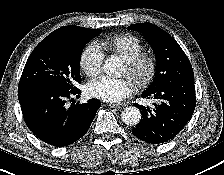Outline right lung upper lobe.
<instances>
[{"label": "right lung upper lobe", "mask_w": 224, "mask_h": 175, "mask_svg": "<svg viewBox=\"0 0 224 175\" xmlns=\"http://www.w3.org/2000/svg\"><path fill=\"white\" fill-rule=\"evenodd\" d=\"M83 27L78 26H64L61 27L55 31H53L51 34H49L46 38L47 39H62V38H68L70 36L78 34L80 31H82Z\"/></svg>", "instance_id": "right-lung-upper-lobe-1"}]
</instances>
